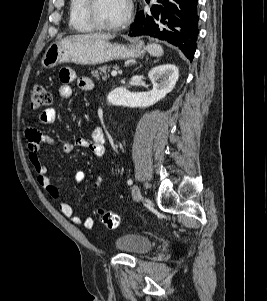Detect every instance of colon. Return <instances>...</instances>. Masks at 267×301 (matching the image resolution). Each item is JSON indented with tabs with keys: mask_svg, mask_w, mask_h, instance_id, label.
Returning <instances> with one entry per match:
<instances>
[{
	"mask_svg": "<svg viewBox=\"0 0 267 301\" xmlns=\"http://www.w3.org/2000/svg\"><path fill=\"white\" fill-rule=\"evenodd\" d=\"M51 94L41 85H33L30 88V105L32 109H40L48 106L51 103ZM100 217L103 224L108 229H115L119 225V217L117 214L108 211L101 210Z\"/></svg>",
	"mask_w": 267,
	"mask_h": 301,
	"instance_id": "colon-1",
	"label": "colon"
}]
</instances>
